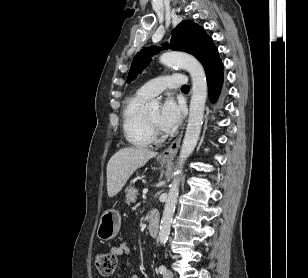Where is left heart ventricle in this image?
Segmentation results:
<instances>
[{"label": "left heart ventricle", "mask_w": 308, "mask_h": 278, "mask_svg": "<svg viewBox=\"0 0 308 278\" xmlns=\"http://www.w3.org/2000/svg\"><path fill=\"white\" fill-rule=\"evenodd\" d=\"M159 111L151 112L147 115V118L154 124H157L158 118H159Z\"/></svg>", "instance_id": "b2bd125f"}]
</instances>
